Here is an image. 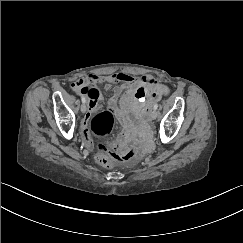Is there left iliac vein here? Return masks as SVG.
Here are the masks:
<instances>
[{"label":"left iliac vein","mask_w":243,"mask_h":243,"mask_svg":"<svg viewBox=\"0 0 243 243\" xmlns=\"http://www.w3.org/2000/svg\"><path fill=\"white\" fill-rule=\"evenodd\" d=\"M157 115H158V111L153 110V111L151 112V114H150V118H151L152 120H154V119H156Z\"/></svg>","instance_id":"left-iliac-vein-1"}]
</instances>
